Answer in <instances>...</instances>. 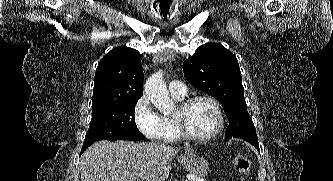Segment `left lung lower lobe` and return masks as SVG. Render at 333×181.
Wrapping results in <instances>:
<instances>
[{"mask_svg":"<svg viewBox=\"0 0 333 181\" xmlns=\"http://www.w3.org/2000/svg\"><path fill=\"white\" fill-rule=\"evenodd\" d=\"M231 138L232 137L225 136V141H228ZM235 138H240V137H235ZM241 139H244L245 141L251 143L252 145H254L257 148V150H259V143L257 140H251L247 136H242Z\"/></svg>","mask_w":333,"mask_h":181,"instance_id":"1","label":"left lung lower lobe"}]
</instances>
